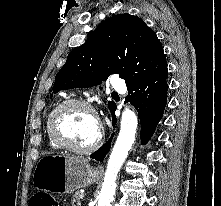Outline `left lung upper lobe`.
Returning a JSON list of instances; mask_svg holds the SVG:
<instances>
[{
	"label": "left lung upper lobe",
	"instance_id": "left-lung-upper-lobe-1",
	"mask_svg": "<svg viewBox=\"0 0 221 206\" xmlns=\"http://www.w3.org/2000/svg\"><path fill=\"white\" fill-rule=\"evenodd\" d=\"M166 68L156 34L138 17L118 14L100 23L86 42L68 55L53 90L99 85L111 74L125 79L129 87ZM108 106L111 112L116 107L113 101Z\"/></svg>",
	"mask_w": 221,
	"mask_h": 206
}]
</instances>
